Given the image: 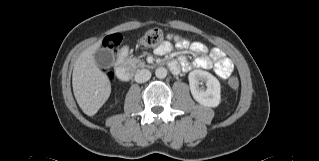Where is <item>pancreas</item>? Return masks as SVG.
Segmentation results:
<instances>
[{
    "mask_svg": "<svg viewBox=\"0 0 319 161\" xmlns=\"http://www.w3.org/2000/svg\"><path fill=\"white\" fill-rule=\"evenodd\" d=\"M128 63L135 69L146 67L145 62L136 57L129 58Z\"/></svg>",
    "mask_w": 319,
    "mask_h": 161,
    "instance_id": "pancreas-1",
    "label": "pancreas"
}]
</instances>
